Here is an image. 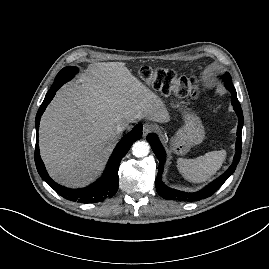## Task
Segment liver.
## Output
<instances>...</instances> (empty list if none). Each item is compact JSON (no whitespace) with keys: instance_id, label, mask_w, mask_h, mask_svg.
<instances>
[{"instance_id":"obj_1","label":"liver","mask_w":269,"mask_h":269,"mask_svg":"<svg viewBox=\"0 0 269 269\" xmlns=\"http://www.w3.org/2000/svg\"><path fill=\"white\" fill-rule=\"evenodd\" d=\"M142 118L167 121L158 96L123 62L91 64L57 92L42 116L39 146L49 174L68 187L90 183L119 138L117 125Z\"/></svg>"}]
</instances>
